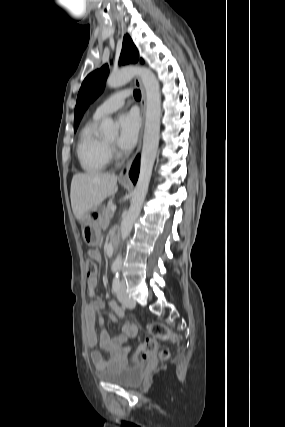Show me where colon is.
<instances>
[{"label":"colon","mask_w":285,"mask_h":427,"mask_svg":"<svg viewBox=\"0 0 285 427\" xmlns=\"http://www.w3.org/2000/svg\"><path fill=\"white\" fill-rule=\"evenodd\" d=\"M97 273V266L91 258L85 260V276L87 280H91ZM150 336L142 341L137 348L136 353L132 356V362L144 361L152 356L157 351L158 340L162 341H175L176 335L172 333L165 325L153 322L148 326ZM159 356L162 360L168 359L170 352L167 349H163L159 352Z\"/></svg>","instance_id":"5ec220e1"}]
</instances>
